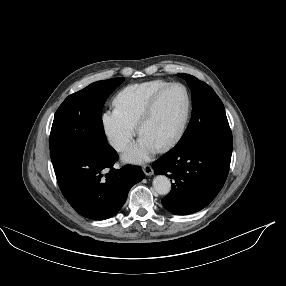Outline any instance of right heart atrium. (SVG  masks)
<instances>
[{"mask_svg":"<svg viewBox=\"0 0 286 286\" xmlns=\"http://www.w3.org/2000/svg\"><path fill=\"white\" fill-rule=\"evenodd\" d=\"M105 135L109 144L118 151L129 148L135 136V125L116 106L102 116Z\"/></svg>","mask_w":286,"mask_h":286,"instance_id":"d8ad5b80","label":"right heart atrium"}]
</instances>
